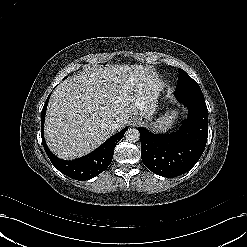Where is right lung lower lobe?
I'll return each instance as SVG.
<instances>
[{"label":"right lung lower lobe","mask_w":247,"mask_h":247,"mask_svg":"<svg viewBox=\"0 0 247 247\" xmlns=\"http://www.w3.org/2000/svg\"><path fill=\"white\" fill-rule=\"evenodd\" d=\"M49 97L50 95L48 96L41 113V137L45 152L52 164L63 174L79 181L91 179L102 173L110 165L114 148L123 138L127 128L107 139L97 149L84 157L72 161L61 160L48 149L44 139V119Z\"/></svg>","instance_id":"98d812e1"}]
</instances>
